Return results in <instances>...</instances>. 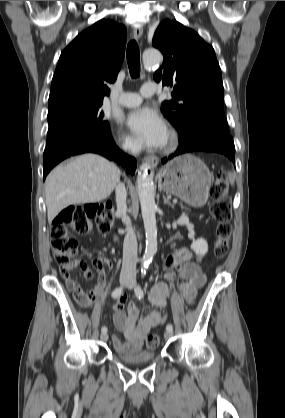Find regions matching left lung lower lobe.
<instances>
[{
  "instance_id": "obj_1",
  "label": "left lung lower lobe",
  "mask_w": 285,
  "mask_h": 418,
  "mask_svg": "<svg viewBox=\"0 0 285 418\" xmlns=\"http://www.w3.org/2000/svg\"><path fill=\"white\" fill-rule=\"evenodd\" d=\"M193 151H207L221 153L227 156L232 162L235 161V146L232 137L229 134L208 131L204 132L184 143H179L176 152L168 158L162 159V163L175 156Z\"/></svg>"
}]
</instances>
